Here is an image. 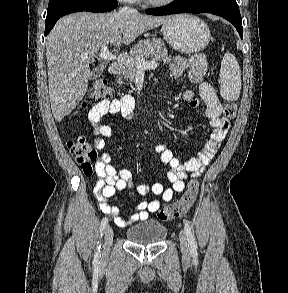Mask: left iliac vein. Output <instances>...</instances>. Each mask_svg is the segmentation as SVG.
Returning a JSON list of instances; mask_svg holds the SVG:
<instances>
[{"label": "left iliac vein", "instance_id": "left-iliac-vein-1", "mask_svg": "<svg viewBox=\"0 0 288 293\" xmlns=\"http://www.w3.org/2000/svg\"><path fill=\"white\" fill-rule=\"evenodd\" d=\"M179 240H180V246H181V251H182L183 256L189 257L188 241H187V237L184 234V232H180Z\"/></svg>", "mask_w": 288, "mask_h": 293}]
</instances>
